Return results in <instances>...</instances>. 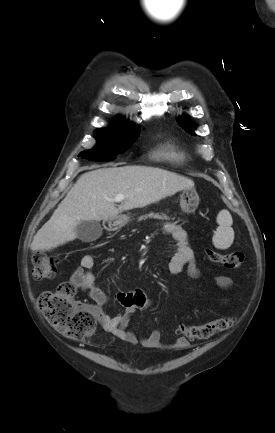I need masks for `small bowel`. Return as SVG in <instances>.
<instances>
[{
    "label": "small bowel",
    "instance_id": "c3829d8e",
    "mask_svg": "<svg viewBox=\"0 0 275 433\" xmlns=\"http://www.w3.org/2000/svg\"><path fill=\"white\" fill-rule=\"evenodd\" d=\"M163 230L176 243V252L168 263L169 271L172 274H178L181 272L183 266L188 264L189 276L197 278L200 271L195 264L194 251L189 245L186 232L180 226L173 223H165ZM94 267L95 259L93 255L85 254L81 258L80 266L73 271L70 281L76 288L86 292L88 297L93 301V304L88 306V309L95 315L105 332L132 345L140 343L143 348L149 350H182L189 346V341L184 337H179L169 344H163L159 329H153L148 336L141 339H138L134 332L127 330L131 316L137 310L149 308L151 305L150 300L141 288H134L127 292H118L111 297L96 282L93 273ZM216 282L224 290L229 289L231 286V279L224 275L217 276ZM112 300L119 303L123 307V311L117 315L109 316L103 311V307L108 305Z\"/></svg>",
    "mask_w": 275,
    "mask_h": 433
}]
</instances>
